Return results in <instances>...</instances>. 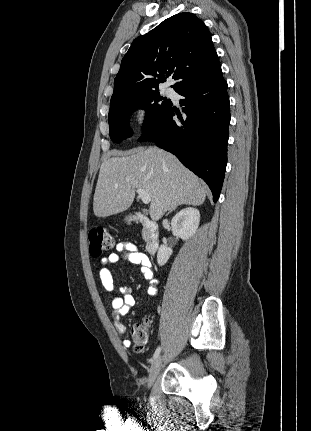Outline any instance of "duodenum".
<instances>
[{
	"label": "duodenum",
	"mask_w": 311,
	"mask_h": 431,
	"mask_svg": "<svg viewBox=\"0 0 311 431\" xmlns=\"http://www.w3.org/2000/svg\"><path fill=\"white\" fill-rule=\"evenodd\" d=\"M134 220L140 223L148 234L146 250L149 254L155 255L159 249V239L156 224L144 213L135 212Z\"/></svg>",
	"instance_id": "obj_1"
}]
</instances>
